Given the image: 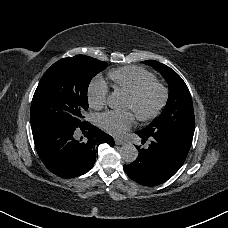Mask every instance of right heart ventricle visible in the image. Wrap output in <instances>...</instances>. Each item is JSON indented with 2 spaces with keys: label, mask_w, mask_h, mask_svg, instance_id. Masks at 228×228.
<instances>
[{
  "label": "right heart ventricle",
  "mask_w": 228,
  "mask_h": 228,
  "mask_svg": "<svg viewBox=\"0 0 228 228\" xmlns=\"http://www.w3.org/2000/svg\"><path fill=\"white\" fill-rule=\"evenodd\" d=\"M107 75L113 81L116 93L124 92L127 96L155 82V76L152 73L137 66L110 70Z\"/></svg>",
  "instance_id": "1"
}]
</instances>
